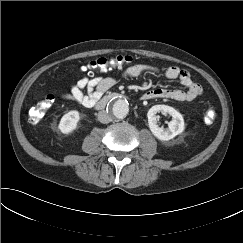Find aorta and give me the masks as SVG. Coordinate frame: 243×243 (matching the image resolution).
<instances>
[{
  "instance_id": "762f6f07",
  "label": "aorta",
  "mask_w": 243,
  "mask_h": 243,
  "mask_svg": "<svg viewBox=\"0 0 243 243\" xmlns=\"http://www.w3.org/2000/svg\"><path fill=\"white\" fill-rule=\"evenodd\" d=\"M112 115L117 119H123L129 112V103L124 99H117L111 107Z\"/></svg>"
}]
</instances>
